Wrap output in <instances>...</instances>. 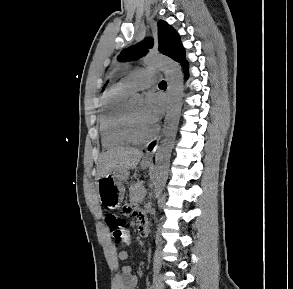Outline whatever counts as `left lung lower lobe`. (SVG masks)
<instances>
[{"label":"left lung lower lobe","mask_w":293,"mask_h":289,"mask_svg":"<svg viewBox=\"0 0 293 289\" xmlns=\"http://www.w3.org/2000/svg\"><path fill=\"white\" fill-rule=\"evenodd\" d=\"M183 70H184V73H185V77L187 78L188 77V62L187 61H184L182 64H181Z\"/></svg>","instance_id":"0a47b994"}]
</instances>
